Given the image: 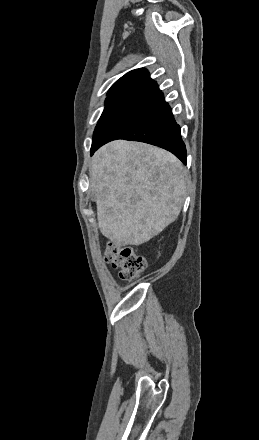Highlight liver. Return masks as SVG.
Returning <instances> with one entry per match:
<instances>
[{
	"label": "liver",
	"instance_id": "6515ba94",
	"mask_svg": "<svg viewBox=\"0 0 259 440\" xmlns=\"http://www.w3.org/2000/svg\"><path fill=\"white\" fill-rule=\"evenodd\" d=\"M100 232L115 245H141L174 222L187 174L170 152L117 140L94 155L89 170Z\"/></svg>",
	"mask_w": 259,
	"mask_h": 440
}]
</instances>
